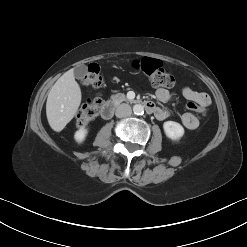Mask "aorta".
Here are the masks:
<instances>
[{"instance_id":"762f6f07","label":"aorta","mask_w":247,"mask_h":247,"mask_svg":"<svg viewBox=\"0 0 247 247\" xmlns=\"http://www.w3.org/2000/svg\"><path fill=\"white\" fill-rule=\"evenodd\" d=\"M133 112L136 115H142L144 113V107L141 104H136L133 106Z\"/></svg>"}]
</instances>
